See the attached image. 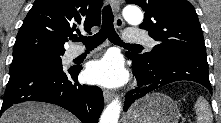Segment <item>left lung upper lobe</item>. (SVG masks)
Wrapping results in <instances>:
<instances>
[{
    "mask_svg": "<svg viewBox=\"0 0 221 123\" xmlns=\"http://www.w3.org/2000/svg\"><path fill=\"white\" fill-rule=\"evenodd\" d=\"M145 12L140 28L158 42L151 52L127 53L147 62L190 55L206 59L202 29L191 3L187 0H126Z\"/></svg>",
    "mask_w": 221,
    "mask_h": 123,
    "instance_id": "left-lung-upper-lobe-1",
    "label": "left lung upper lobe"
}]
</instances>
